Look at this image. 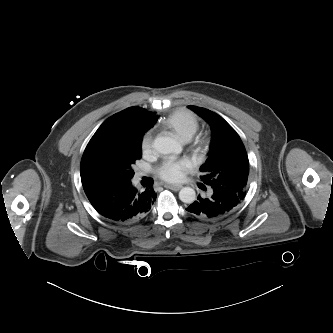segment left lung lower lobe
Masks as SVG:
<instances>
[{"mask_svg": "<svg viewBox=\"0 0 333 333\" xmlns=\"http://www.w3.org/2000/svg\"><path fill=\"white\" fill-rule=\"evenodd\" d=\"M210 189V196H198L186 210L202 220L216 221L234 211L241 202L237 194L226 187L210 186Z\"/></svg>", "mask_w": 333, "mask_h": 333, "instance_id": "0a47b994", "label": "left lung lower lobe"}]
</instances>
